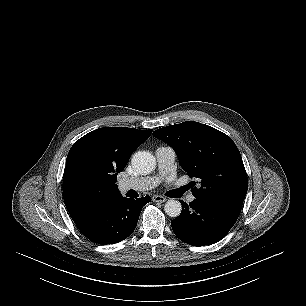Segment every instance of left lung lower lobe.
Wrapping results in <instances>:
<instances>
[{"instance_id":"0a47b994","label":"left lung lower lobe","mask_w":306,"mask_h":306,"mask_svg":"<svg viewBox=\"0 0 306 306\" xmlns=\"http://www.w3.org/2000/svg\"><path fill=\"white\" fill-rule=\"evenodd\" d=\"M182 212L171 221L175 235L193 246L213 244L230 231L241 212L242 203L224 199L180 201Z\"/></svg>"}]
</instances>
